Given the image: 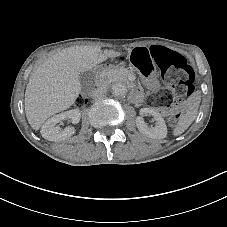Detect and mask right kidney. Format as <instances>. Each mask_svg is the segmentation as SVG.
<instances>
[{
    "label": "right kidney",
    "instance_id": "1",
    "mask_svg": "<svg viewBox=\"0 0 227 227\" xmlns=\"http://www.w3.org/2000/svg\"><path fill=\"white\" fill-rule=\"evenodd\" d=\"M80 118L81 112L77 108L54 115L42 125L40 133L43 138L50 141H58L71 137L75 131L74 125H77L80 122ZM66 119H71L73 125L65 127L64 129H61L60 126L56 125Z\"/></svg>",
    "mask_w": 227,
    "mask_h": 227
}]
</instances>
